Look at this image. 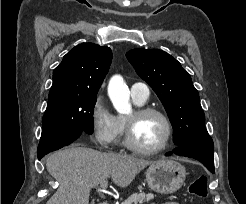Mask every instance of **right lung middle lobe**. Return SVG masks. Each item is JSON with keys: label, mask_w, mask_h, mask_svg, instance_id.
<instances>
[{"label": "right lung middle lobe", "mask_w": 246, "mask_h": 204, "mask_svg": "<svg viewBox=\"0 0 246 204\" xmlns=\"http://www.w3.org/2000/svg\"><path fill=\"white\" fill-rule=\"evenodd\" d=\"M96 94L69 96L48 101L42 121L38 157L69 145L82 133H93Z\"/></svg>", "instance_id": "right-lung-middle-lobe-1"}]
</instances>
